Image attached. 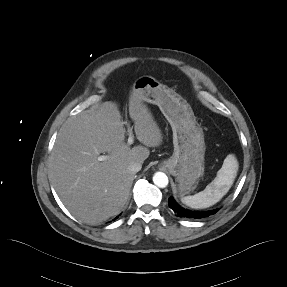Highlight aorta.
<instances>
[{"mask_svg":"<svg viewBox=\"0 0 287 287\" xmlns=\"http://www.w3.org/2000/svg\"><path fill=\"white\" fill-rule=\"evenodd\" d=\"M153 182L160 188H165L168 185V177L163 172H156L153 176Z\"/></svg>","mask_w":287,"mask_h":287,"instance_id":"obj_1","label":"aorta"}]
</instances>
